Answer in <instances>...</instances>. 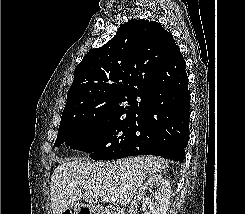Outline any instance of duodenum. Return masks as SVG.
Masks as SVG:
<instances>
[{
	"instance_id": "1",
	"label": "duodenum",
	"mask_w": 245,
	"mask_h": 214,
	"mask_svg": "<svg viewBox=\"0 0 245 214\" xmlns=\"http://www.w3.org/2000/svg\"><path fill=\"white\" fill-rule=\"evenodd\" d=\"M89 214H119V212L110 213L108 208L102 206H93L90 208Z\"/></svg>"
}]
</instances>
